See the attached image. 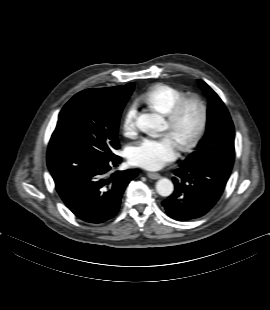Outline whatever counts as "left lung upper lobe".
Listing matches in <instances>:
<instances>
[{
	"instance_id": "left-lung-upper-lobe-1",
	"label": "left lung upper lobe",
	"mask_w": 270,
	"mask_h": 310,
	"mask_svg": "<svg viewBox=\"0 0 270 310\" xmlns=\"http://www.w3.org/2000/svg\"><path fill=\"white\" fill-rule=\"evenodd\" d=\"M199 84L209 99L207 130L197 150L183 165H205L231 172L234 162V126L218 95L202 80Z\"/></svg>"
}]
</instances>
